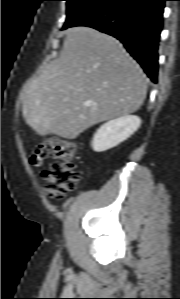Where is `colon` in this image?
<instances>
[{
    "label": "colon",
    "mask_w": 180,
    "mask_h": 299,
    "mask_svg": "<svg viewBox=\"0 0 180 299\" xmlns=\"http://www.w3.org/2000/svg\"><path fill=\"white\" fill-rule=\"evenodd\" d=\"M75 143L65 138H51L40 142L30 156V163L39 166L48 157L55 158L42 174V190L50 199L63 198L76 189L80 174L74 169Z\"/></svg>",
    "instance_id": "5ec220e1"
}]
</instances>
